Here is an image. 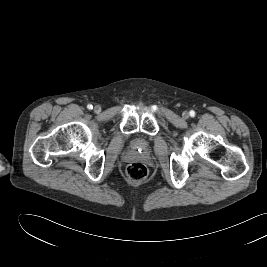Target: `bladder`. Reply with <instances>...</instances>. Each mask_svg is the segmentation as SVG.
I'll use <instances>...</instances> for the list:
<instances>
[{
  "label": "bladder",
  "mask_w": 267,
  "mask_h": 267,
  "mask_svg": "<svg viewBox=\"0 0 267 267\" xmlns=\"http://www.w3.org/2000/svg\"><path fill=\"white\" fill-rule=\"evenodd\" d=\"M136 147L141 148V149H144L146 147V144L143 143V142H137L136 143Z\"/></svg>",
  "instance_id": "bladder-1"
}]
</instances>
